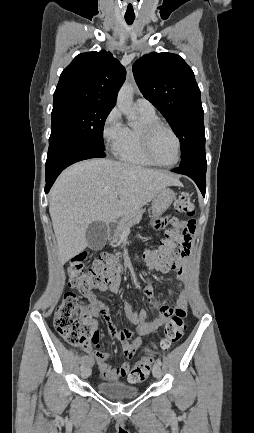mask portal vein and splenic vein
I'll return each mask as SVG.
<instances>
[{"mask_svg": "<svg viewBox=\"0 0 254 433\" xmlns=\"http://www.w3.org/2000/svg\"><path fill=\"white\" fill-rule=\"evenodd\" d=\"M125 194V191H121V192H119V196H122V195H124Z\"/></svg>", "mask_w": 254, "mask_h": 433, "instance_id": "obj_1", "label": "portal vein and splenic vein"}]
</instances>
